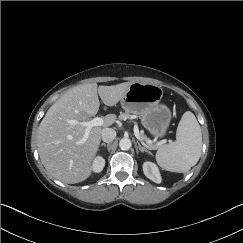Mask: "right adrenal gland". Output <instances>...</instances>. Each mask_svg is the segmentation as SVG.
I'll use <instances>...</instances> for the list:
<instances>
[{
    "label": "right adrenal gland",
    "mask_w": 243,
    "mask_h": 243,
    "mask_svg": "<svg viewBox=\"0 0 243 243\" xmlns=\"http://www.w3.org/2000/svg\"><path fill=\"white\" fill-rule=\"evenodd\" d=\"M105 146H106L105 143H102V144L100 145V147H105ZM107 146H109V144H108Z\"/></svg>",
    "instance_id": "2a0ac1e0"
}]
</instances>
